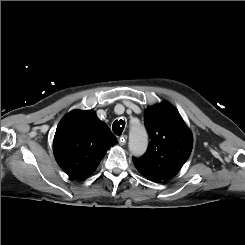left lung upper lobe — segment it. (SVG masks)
Segmentation results:
<instances>
[{
  "instance_id": "1",
  "label": "left lung upper lobe",
  "mask_w": 245,
  "mask_h": 245,
  "mask_svg": "<svg viewBox=\"0 0 245 245\" xmlns=\"http://www.w3.org/2000/svg\"><path fill=\"white\" fill-rule=\"evenodd\" d=\"M144 121L151 139L146 153L133 158L137 170L155 182L173 178L189 158L193 137L179 112L168 103L147 108Z\"/></svg>"
}]
</instances>
